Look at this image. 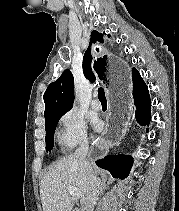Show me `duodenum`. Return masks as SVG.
I'll return each mask as SVG.
<instances>
[{"label":"duodenum","instance_id":"duodenum-1","mask_svg":"<svg viewBox=\"0 0 179 211\" xmlns=\"http://www.w3.org/2000/svg\"><path fill=\"white\" fill-rule=\"evenodd\" d=\"M72 211H80V210H78V209H74V210H72Z\"/></svg>","mask_w":179,"mask_h":211}]
</instances>
